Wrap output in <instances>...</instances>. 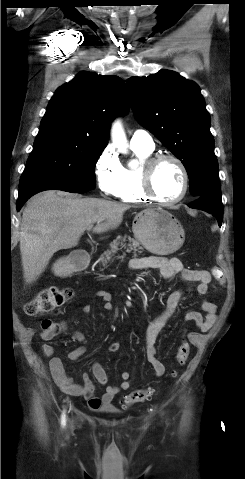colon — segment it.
<instances>
[{"label":"colon","mask_w":245,"mask_h":479,"mask_svg":"<svg viewBox=\"0 0 245 479\" xmlns=\"http://www.w3.org/2000/svg\"><path fill=\"white\" fill-rule=\"evenodd\" d=\"M213 274L217 278H221V272L217 268H213ZM73 297L72 289L68 287L51 286L41 289L34 298L26 302L23 306L24 312L29 316H39L50 313L66 305ZM59 325L51 319H45L41 323V336L46 339L55 337L59 333ZM190 354V345L182 339L175 359L179 365H184ZM154 395V391L148 389H138L132 391L124 398V406H130L138 402L150 399Z\"/></svg>","instance_id":"1"}]
</instances>
